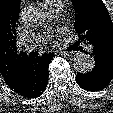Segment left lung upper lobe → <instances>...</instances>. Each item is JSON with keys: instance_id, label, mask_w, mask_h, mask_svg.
<instances>
[{"instance_id": "5c2ea615", "label": "left lung upper lobe", "mask_w": 113, "mask_h": 113, "mask_svg": "<svg viewBox=\"0 0 113 113\" xmlns=\"http://www.w3.org/2000/svg\"><path fill=\"white\" fill-rule=\"evenodd\" d=\"M71 1L76 11L77 43H97L113 50V23L102 0Z\"/></svg>"}]
</instances>
